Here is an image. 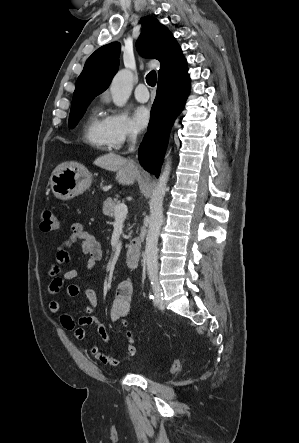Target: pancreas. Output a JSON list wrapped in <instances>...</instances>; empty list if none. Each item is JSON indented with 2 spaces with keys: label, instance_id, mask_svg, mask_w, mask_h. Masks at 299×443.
<instances>
[{
  "label": "pancreas",
  "instance_id": "obj_1",
  "mask_svg": "<svg viewBox=\"0 0 299 443\" xmlns=\"http://www.w3.org/2000/svg\"><path fill=\"white\" fill-rule=\"evenodd\" d=\"M120 204V201L118 199H111L108 198L104 203H103V214L109 217H114V211L117 205ZM131 233H129V235L127 236V238L131 237Z\"/></svg>",
  "mask_w": 299,
  "mask_h": 443
}]
</instances>
